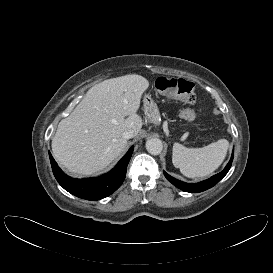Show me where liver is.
I'll return each instance as SVG.
<instances>
[{
  "label": "liver",
  "mask_w": 273,
  "mask_h": 273,
  "mask_svg": "<svg viewBox=\"0 0 273 273\" xmlns=\"http://www.w3.org/2000/svg\"><path fill=\"white\" fill-rule=\"evenodd\" d=\"M146 78L131 74L104 80L88 90L81 102L58 124L52 139L56 160L69 172L91 175L105 169L127 145L126 130L140 132L137 114Z\"/></svg>",
  "instance_id": "liver-1"
}]
</instances>
